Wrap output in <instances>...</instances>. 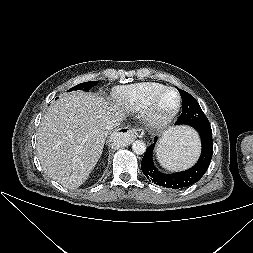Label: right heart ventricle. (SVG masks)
<instances>
[{
    "label": "right heart ventricle",
    "mask_w": 253,
    "mask_h": 253,
    "mask_svg": "<svg viewBox=\"0 0 253 253\" xmlns=\"http://www.w3.org/2000/svg\"><path fill=\"white\" fill-rule=\"evenodd\" d=\"M166 86L157 82H141L116 89L115 98L124 108L132 112L145 110L150 99Z\"/></svg>",
    "instance_id": "1"
}]
</instances>
